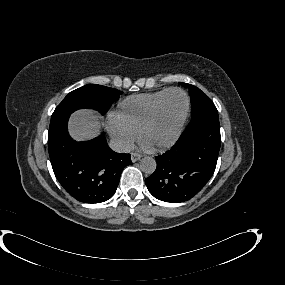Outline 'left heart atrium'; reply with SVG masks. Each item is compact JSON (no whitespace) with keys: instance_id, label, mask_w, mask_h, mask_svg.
Masks as SVG:
<instances>
[{"instance_id":"left-heart-atrium-1","label":"left heart atrium","mask_w":285,"mask_h":285,"mask_svg":"<svg viewBox=\"0 0 285 285\" xmlns=\"http://www.w3.org/2000/svg\"><path fill=\"white\" fill-rule=\"evenodd\" d=\"M141 145H142V147L143 148H145V149H150L152 146H150L149 144H147L146 142H144V141H141Z\"/></svg>"}]
</instances>
